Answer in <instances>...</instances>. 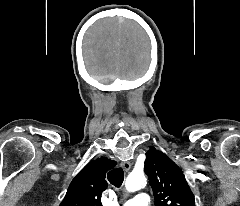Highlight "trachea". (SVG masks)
<instances>
[{"label":"trachea","mask_w":240,"mask_h":206,"mask_svg":"<svg viewBox=\"0 0 240 206\" xmlns=\"http://www.w3.org/2000/svg\"><path fill=\"white\" fill-rule=\"evenodd\" d=\"M107 178L112 185H114L115 187H120L124 180L123 169L116 168V169L111 170L108 173Z\"/></svg>","instance_id":"trachea-1"}]
</instances>
